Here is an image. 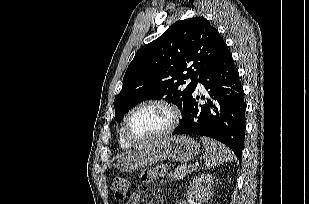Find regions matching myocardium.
<instances>
[{
	"instance_id": "f54148a6",
	"label": "myocardium",
	"mask_w": 309,
	"mask_h": 204,
	"mask_svg": "<svg viewBox=\"0 0 309 204\" xmlns=\"http://www.w3.org/2000/svg\"><path fill=\"white\" fill-rule=\"evenodd\" d=\"M149 105L162 106L169 111L171 119H170L168 126L163 131H161L160 133H158L154 136H151V137H147V138H143V139H136V138L131 137L129 135L128 131H127V125H128V121H129L130 117L132 116L133 113H135L140 108L145 107V106H149ZM180 118H181L180 110L177 108V106H175L171 102H169L167 100H163V99L145 100V101H142V102L138 103L137 105H135L126 114V116L123 120V123H122L121 133H122V136L125 139V141L130 145L147 144V143L159 140V139L171 134L177 128V126L179 125Z\"/></svg>"
}]
</instances>
